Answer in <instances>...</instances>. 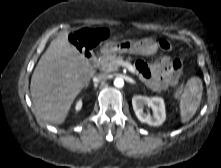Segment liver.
<instances>
[{"instance_id": "1", "label": "liver", "mask_w": 221, "mask_h": 168, "mask_svg": "<svg viewBox=\"0 0 221 168\" xmlns=\"http://www.w3.org/2000/svg\"><path fill=\"white\" fill-rule=\"evenodd\" d=\"M61 32L41 56L31 78L30 92L38 115L53 124H62L75 98L94 75L84 56Z\"/></svg>"}]
</instances>
